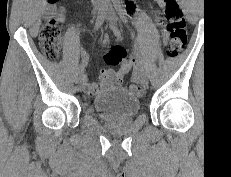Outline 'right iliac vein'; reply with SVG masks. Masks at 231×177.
<instances>
[{
  "instance_id": "1",
  "label": "right iliac vein",
  "mask_w": 231,
  "mask_h": 177,
  "mask_svg": "<svg viewBox=\"0 0 231 177\" xmlns=\"http://www.w3.org/2000/svg\"><path fill=\"white\" fill-rule=\"evenodd\" d=\"M77 84H78V90H84L86 87V76L85 75H81L78 80H77Z\"/></svg>"
}]
</instances>
